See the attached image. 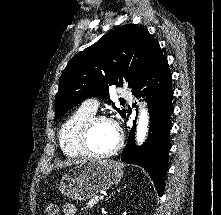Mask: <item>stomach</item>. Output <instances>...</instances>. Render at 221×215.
I'll return each mask as SVG.
<instances>
[{
    "label": "stomach",
    "instance_id": "1",
    "mask_svg": "<svg viewBox=\"0 0 221 215\" xmlns=\"http://www.w3.org/2000/svg\"><path fill=\"white\" fill-rule=\"evenodd\" d=\"M122 177L123 170L117 162L89 159L62 177L59 190L70 199L85 201L118 184Z\"/></svg>",
    "mask_w": 221,
    "mask_h": 215
}]
</instances>
